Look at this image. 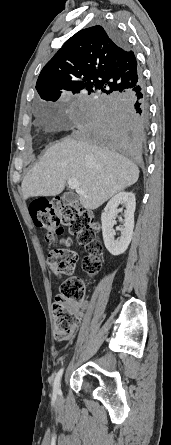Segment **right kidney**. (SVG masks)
<instances>
[{
  "mask_svg": "<svg viewBox=\"0 0 171 445\" xmlns=\"http://www.w3.org/2000/svg\"><path fill=\"white\" fill-rule=\"evenodd\" d=\"M120 204L125 207L124 220L121 219L124 222V226L121 228L120 238L115 240L113 219L118 214V206ZM135 207V195L132 192L121 191L109 200L101 215L104 244L107 250L114 256L123 254L132 240Z\"/></svg>",
  "mask_w": 171,
  "mask_h": 445,
  "instance_id": "ca27d5eb",
  "label": "right kidney"
}]
</instances>
